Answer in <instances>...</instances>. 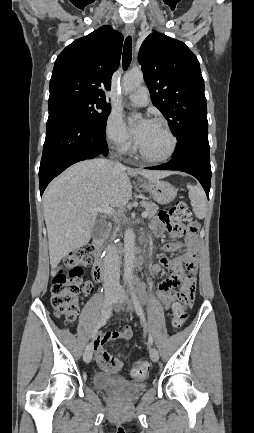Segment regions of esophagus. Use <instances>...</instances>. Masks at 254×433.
Here are the masks:
<instances>
[{
	"instance_id": "1",
	"label": "esophagus",
	"mask_w": 254,
	"mask_h": 433,
	"mask_svg": "<svg viewBox=\"0 0 254 433\" xmlns=\"http://www.w3.org/2000/svg\"><path fill=\"white\" fill-rule=\"evenodd\" d=\"M125 30H126V33H127L128 35H132V36H133V35L135 34V27H134V25L131 24V23H128V24L126 25Z\"/></svg>"
}]
</instances>
